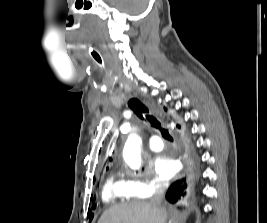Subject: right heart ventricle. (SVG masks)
<instances>
[{
  "label": "right heart ventricle",
  "instance_id": "1",
  "mask_svg": "<svg viewBox=\"0 0 267 223\" xmlns=\"http://www.w3.org/2000/svg\"><path fill=\"white\" fill-rule=\"evenodd\" d=\"M131 196L133 195L130 192L127 180L121 173L111 175L102 191L103 200L113 205H116L119 201L129 199Z\"/></svg>",
  "mask_w": 267,
  "mask_h": 223
}]
</instances>
